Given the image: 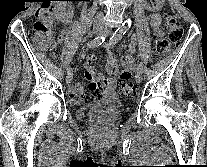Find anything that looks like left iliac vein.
Returning <instances> with one entry per match:
<instances>
[{
	"instance_id": "1",
	"label": "left iliac vein",
	"mask_w": 207,
	"mask_h": 167,
	"mask_svg": "<svg viewBox=\"0 0 207 167\" xmlns=\"http://www.w3.org/2000/svg\"><path fill=\"white\" fill-rule=\"evenodd\" d=\"M109 33H110L109 30H105V31H104V34H109ZM135 78H136V82H137V83H140V82L142 81V72L138 71V72L136 73Z\"/></svg>"
}]
</instances>
